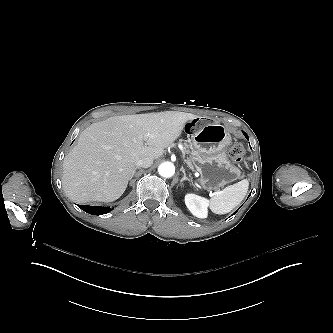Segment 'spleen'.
<instances>
[{
	"label": "spleen",
	"mask_w": 333,
	"mask_h": 333,
	"mask_svg": "<svg viewBox=\"0 0 333 333\" xmlns=\"http://www.w3.org/2000/svg\"><path fill=\"white\" fill-rule=\"evenodd\" d=\"M248 180L229 185L220 190L216 195L209 198V209L214 214H226L237 207L248 192Z\"/></svg>",
	"instance_id": "obj_1"
}]
</instances>
